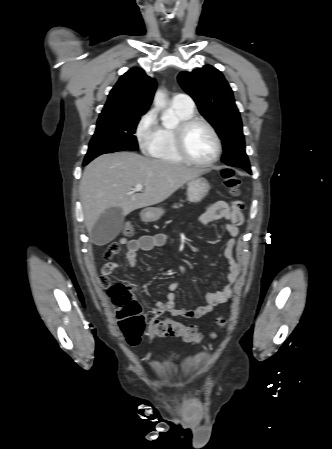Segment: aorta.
<instances>
[{"mask_svg":"<svg viewBox=\"0 0 332 449\" xmlns=\"http://www.w3.org/2000/svg\"><path fill=\"white\" fill-rule=\"evenodd\" d=\"M161 93L159 92V93H157V99L159 100L160 99V97H161Z\"/></svg>","mask_w":332,"mask_h":449,"instance_id":"obj_1","label":"aorta"}]
</instances>
